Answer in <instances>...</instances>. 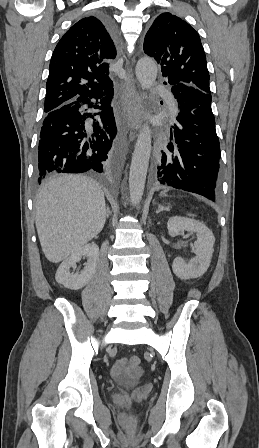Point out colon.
Listing matches in <instances>:
<instances>
[{
  "label": "colon",
  "mask_w": 259,
  "mask_h": 448,
  "mask_svg": "<svg viewBox=\"0 0 259 448\" xmlns=\"http://www.w3.org/2000/svg\"><path fill=\"white\" fill-rule=\"evenodd\" d=\"M130 367L137 368L140 365V358L136 355H133L128 360Z\"/></svg>",
  "instance_id": "colon-1"
}]
</instances>
